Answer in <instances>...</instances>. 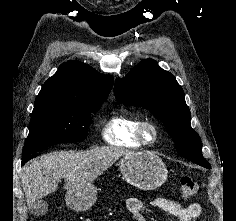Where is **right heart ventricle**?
Here are the masks:
<instances>
[{
  "mask_svg": "<svg viewBox=\"0 0 236 221\" xmlns=\"http://www.w3.org/2000/svg\"><path fill=\"white\" fill-rule=\"evenodd\" d=\"M142 121L138 116L128 113H117L109 117L102 129L104 140L114 147L138 149L143 145L136 136L138 124Z\"/></svg>",
  "mask_w": 236,
  "mask_h": 221,
  "instance_id": "right-heart-ventricle-1",
  "label": "right heart ventricle"
}]
</instances>
